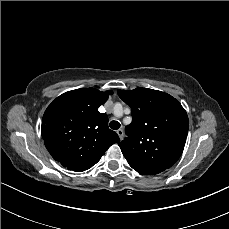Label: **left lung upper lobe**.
Returning a JSON list of instances; mask_svg holds the SVG:
<instances>
[{
    "instance_id": "left-lung-upper-lobe-1",
    "label": "left lung upper lobe",
    "mask_w": 229,
    "mask_h": 229,
    "mask_svg": "<svg viewBox=\"0 0 229 229\" xmlns=\"http://www.w3.org/2000/svg\"><path fill=\"white\" fill-rule=\"evenodd\" d=\"M131 107L133 120L119 143L129 165L140 174L155 175L181 156L189 129L188 116L171 95L147 88L118 90Z\"/></svg>"
}]
</instances>
